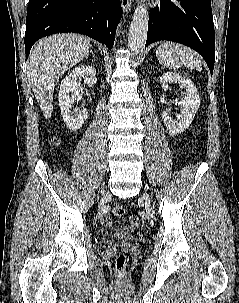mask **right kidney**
Returning <instances> with one entry per match:
<instances>
[{
	"mask_svg": "<svg viewBox=\"0 0 239 303\" xmlns=\"http://www.w3.org/2000/svg\"><path fill=\"white\" fill-rule=\"evenodd\" d=\"M77 77H82L86 83L94 85L97 82L96 69L90 65L76 67L61 82L59 91L61 115L71 131L79 130L88 118L87 111L76 116L71 112V107L79 95L80 84L77 82Z\"/></svg>",
	"mask_w": 239,
	"mask_h": 303,
	"instance_id": "1",
	"label": "right kidney"
}]
</instances>
